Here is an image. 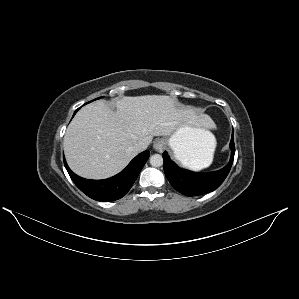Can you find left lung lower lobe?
Here are the masks:
<instances>
[{
	"mask_svg": "<svg viewBox=\"0 0 299 299\" xmlns=\"http://www.w3.org/2000/svg\"><path fill=\"white\" fill-rule=\"evenodd\" d=\"M231 158L223 169L210 173H196L179 168L168 156L167 152L162 154L164 159V172L171 185L186 196H196L209 193L217 189L227 177L233 164L235 145L234 134L230 141Z\"/></svg>",
	"mask_w": 299,
	"mask_h": 299,
	"instance_id": "0a47b994",
	"label": "left lung lower lobe"
}]
</instances>
